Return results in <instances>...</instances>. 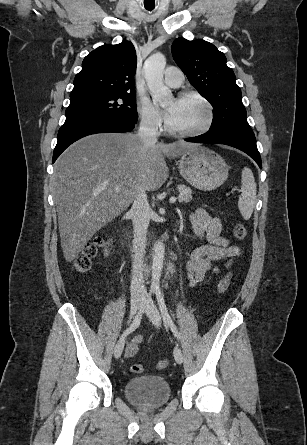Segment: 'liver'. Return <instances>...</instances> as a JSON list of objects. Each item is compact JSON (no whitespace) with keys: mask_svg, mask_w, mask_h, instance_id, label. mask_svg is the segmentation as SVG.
<instances>
[{"mask_svg":"<svg viewBox=\"0 0 307 445\" xmlns=\"http://www.w3.org/2000/svg\"><path fill=\"white\" fill-rule=\"evenodd\" d=\"M195 146L184 140L146 144L132 132L89 134L73 142L53 174L65 261L77 259L93 235L128 208L141 184L145 190L162 186L169 176L163 154L174 158Z\"/></svg>","mask_w":307,"mask_h":445,"instance_id":"obj_1","label":"liver"}]
</instances>
